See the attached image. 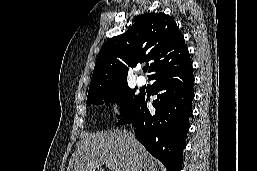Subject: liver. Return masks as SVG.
Instances as JSON below:
<instances>
[{
  "label": "liver",
  "mask_w": 257,
  "mask_h": 171,
  "mask_svg": "<svg viewBox=\"0 0 257 171\" xmlns=\"http://www.w3.org/2000/svg\"><path fill=\"white\" fill-rule=\"evenodd\" d=\"M82 138L70 158L67 171H100L104 170L101 168L104 165L112 171H131L135 156L142 171L155 168L153 158L145 148L125 131L82 134Z\"/></svg>",
  "instance_id": "obj_1"
}]
</instances>
